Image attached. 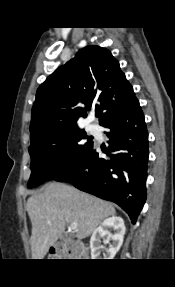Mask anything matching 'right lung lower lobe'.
I'll return each instance as SVG.
<instances>
[{"instance_id":"98d812e1","label":"right lung lower lobe","mask_w":175,"mask_h":287,"mask_svg":"<svg viewBox=\"0 0 175 287\" xmlns=\"http://www.w3.org/2000/svg\"><path fill=\"white\" fill-rule=\"evenodd\" d=\"M109 129L108 159L95 147L83 162L55 179L118 204L135 223L146 200L148 132L138 100L122 112L104 118Z\"/></svg>"}]
</instances>
